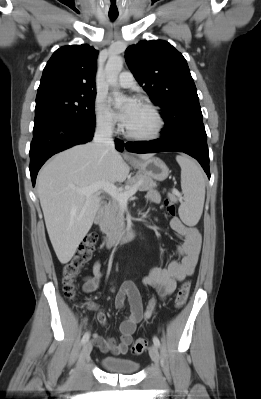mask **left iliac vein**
Here are the masks:
<instances>
[{"mask_svg": "<svg viewBox=\"0 0 261 399\" xmlns=\"http://www.w3.org/2000/svg\"><path fill=\"white\" fill-rule=\"evenodd\" d=\"M149 355H150L152 361L156 365H158V363H159V352H158V349H157V347L155 345L150 346Z\"/></svg>", "mask_w": 261, "mask_h": 399, "instance_id": "1", "label": "left iliac vein"}]
</instances>
